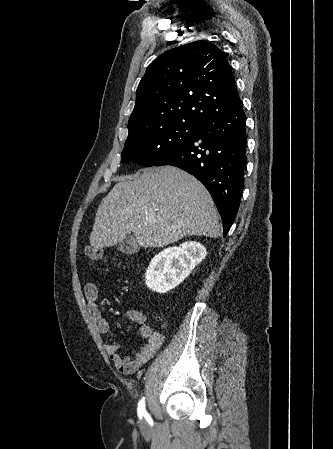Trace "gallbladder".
I'll use <instances>...</instances> for the list:
<instances>
[{
  "label": "gallbladder",
  "instance_id": "1",
  "mask_svg": "<svg viewBox=\"0 0 333 449\" xmlns=\"http://www.w3.org/2000/svg\"><path fill=\"white\" fill-rule=\"evenodd\" d=\"M138 249V243L131 236L126 237L119 245V250L125 254H133L137 252Z\"/></svg>",
  "mask_w": 333,
  "mask_h": 449
}]
</instances>
